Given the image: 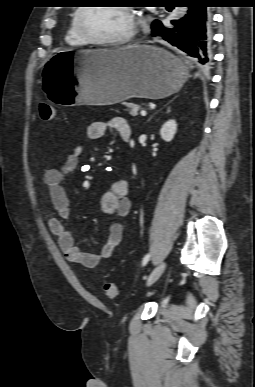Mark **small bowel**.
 <instances>
[{"label":"small bowel","instance_id":"1","mask_svg":"<svg viewBox=\"0 0 255 387\" xmlns=\"http://www.w3.org/2000/svg\"><path fill=\"white\" fill-rule=\"evenodd\" d=\"M109 129L116 130L121 138L123 134L131 135V129L127 121L118 116L112 117L108 121L97 120L92 122L88 127L87 135L92 140L100 139ZM84 152L83 144L74 146L62 165L48 169L43 173L42 181L47 188L51 204L58 214V218L48 220V228L57 237L59 248L70 262L93 268L113 255L115 248L122 240L123 226L118 222L110 226L107 242L99 252L83 251L76 246L74 237L65 224V221L71 219V214L70 201L63 184L66 177L78 167ZM128 192L129 182L127 180L119 179L115 181L110 189L102 195V211L108 215L128 216L132 208Z\"/></svg>","mask_w":255,"mask_h":387}]
</instances>
